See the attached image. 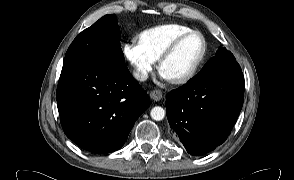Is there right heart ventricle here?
Here are the masks:
<instances>
[{"label":"right heart ventricle","instance_id":"right-heart-ventricle-1","mask_svg":"<svg viewBox=\"0 0 294 180\" xmlns=\"http://www.w3.org/2000/svg\"><path fill=\"white\" fill-rule=\"evenodd\" d=\"M191 30V27L184 24H162L140 31L137 40L147 53L157 60L177 37Z\"/></svg>","mask_w":294,"mask_h":180}]
</instances>
